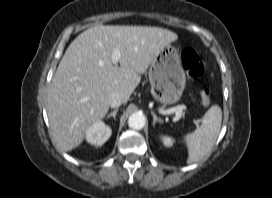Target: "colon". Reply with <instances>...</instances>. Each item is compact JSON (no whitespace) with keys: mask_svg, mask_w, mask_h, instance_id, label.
Wrapping results in <instances>:
<instances>
[{"mask_svg":"<svg viewBox=\"0 0 272 198\" xmlns=\"http://www.w3.org/2000/svg\"><path fill=\"white\" fill-rule=\"evenodd\" d=\"M181 59L183 65L192 78H201L205 74V66L197 54L192 48H186L181 53ZM199 98L202 103L207 104L212 99V91L209 87H203L199 91Z\"/></svg>","mask_w":272,"mask_h":198,"instance_id":"1","label":"colon"}]
</instances>
